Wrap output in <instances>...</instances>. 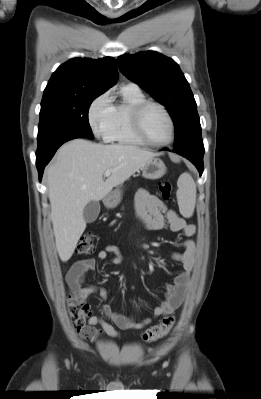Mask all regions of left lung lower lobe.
Returning <instances> with one entry per match:
<instances>
[{"label": "left lung lower lobe", "instance_id": "1", "mask_svg": "<svg viewBox=\"0 0 261 399\" xmlns=\"http://www.w3.org/2000/svg\"><path fill=\"white\" fill-rule=\"evenodd\" d=\"M163 150L170 151L167 148H165ZM174 152H176V153L180 154L181 156L190 160L197 167V169L200 173V176L202 175L204 151H176V150H174Z\"/></svg>", "mask_w": 261, "mask_h": 399}]
</instances>
